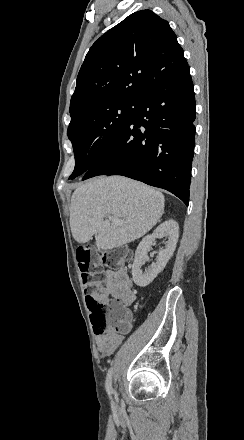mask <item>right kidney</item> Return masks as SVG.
<instances>
[{
	"label": "right kidney",
	"instance_id": "right-kidney-1",
	"mask_svg": "<svg viewBox=\"0 0 244 440\" xmlns=\"http://www.w3.org/2000/svg\"><path fill=\"white\" fill-rule=\"evenodd\" d=\"M178 236L179 226L177 222H175V220H167V222L160 224L151 236L143 238L142 242L137 246L135 260L132 266V278L136 286L145 288V286H148V284H151V282L155 280L157 274H160V272L164 270L167 262H169L171 256H173ZM156 238H167L168 242H166L165 250H160L155 264H151L148 270L142 272L141 266H144L146 262L145 256Z\"/></svg>",
	"mask_w": 244,
	"mask_h": 440
}]
</instances>
